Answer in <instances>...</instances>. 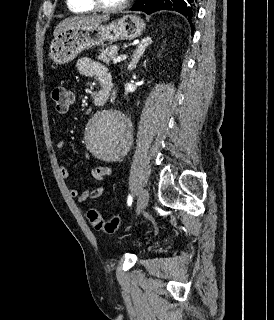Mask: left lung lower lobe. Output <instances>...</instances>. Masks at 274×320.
I'll list each match as a JSON object with an SVG mask.
<instances>
[{
  "mask_svg": "<svg viewBox=\"0 0 274 320\" xmlns=\"http://www.w3.org/2000/svg\"><path fill=\"white\" fill-rule=\"evenodd\" d=\"M197 0H137L130 10L143 11L147 14L159 10L177 11L191 23L196 12Z\"/></svg>",
  "mask_w": 274,
  "mask_h": 320,
  "instance_id": "obj_1",
  "label": "left lung lower lobe"
}]
</instances>
